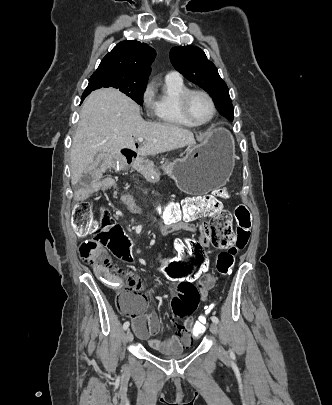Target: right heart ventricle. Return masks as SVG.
Returning <instances> with one entry per match:
<instances>
[{"mask_svg":"<svg viewBox=\"0 0 332 405\" xmlns=\"http://www.w3.org/2000/svg\"><path fill=\"white\" fill-rule=\"evenodd\" d=\"M181 79L165 78L162 89L153 96L152 117L163 124L183 127H194L181 114L179 108L180 96L187 90Z\"/></svg>","mask_w":332,"mask_h":405,"instance_id":"1","label":"right heart ventricle"}]
</instances>
